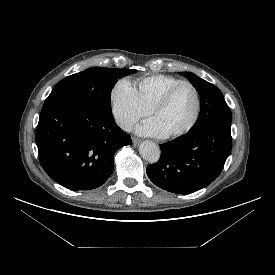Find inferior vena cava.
I'll return each mask as SVG.
<instances>
[{
    "mask_svg": "<svg viewBox=\"0 0 275 275\" xmlns=\"http://www.w3.org/2000/svg\"><path fill=\"white\" fill-rule=\"evenodd\" d=\"M118 125L126 131H130L133 127V123L130 120L127 119H121L118 120Z\"/></svg>",
    "mask_w": 275,
    "mask_h": 275,
    "instance_id": "inferior-vena-cava-1",
    "label": "inferior vena cava"
}]
</instances>
